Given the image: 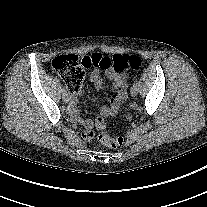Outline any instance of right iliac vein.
Masks as SVG:
<instances>
[{"label": "right iliac vein", "instance_id": "1", "mask_svg": "<svg viewBox=\"0 0 207 207\" xmlns=\"http://www.w3.org/2000/svg\"><path fill=\"white\" fill-rule=\"evenodd\" d=\"M62 99L65 103H68L69 102V95L66 93L65 95H63Z\"/></svg>", "mask_w": 207, "mask_h": 207}]
</instances>
